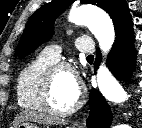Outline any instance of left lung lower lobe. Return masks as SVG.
Returning a JSON list of instances; mask_svg holds the SVG:
<instances>
[{
    "label": "left lung lower lobe",
    "instance_id": "1",
    "mask_svg": "<svg viewBox=\"0 0 142 128\" xmlns=\"http://www.w3.org/2000/svg\"><path fill=\"white\" fill-rule=\"evenodd\" d=\"M95 61V71L100 62V51ZM136 50L134 47L133 22L120 30L109 53L107 66L112 74L120 80H128L135 67ZM90 115L86 120L88 128H109L112 113L99 91H90Z\"/></svg>",
    "mask_w": 142,
    "mask_h": 128
}]
</instances>
